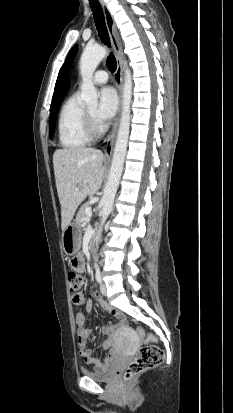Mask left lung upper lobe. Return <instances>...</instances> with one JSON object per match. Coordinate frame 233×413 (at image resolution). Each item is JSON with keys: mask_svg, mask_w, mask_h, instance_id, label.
<instances>
[{"mask_svg": "<svg viewBox=\"0 0 233 413\" xmlns=\"http://www.w3.org/2000/svg\"><path fill=\"white\" fill-rule=\"evenodd\" d=\"M76 50H77V46H74V47L71 49V51L69 52V54H68V56H67V58H66V60H65V62H64V64H63V66L61 67V69H60V71H59L58 78H57V81H56V84H55V90H54V94H53V99H52L53 102L57 99V97H58V95H59V91H60V87H61L62 81H63L65 75H66L67 72H68L69 66H70V64H71V62H72V60H73V58H74V56H75Z\"/></svg>", "mask_w": 233, "mask_h": 413, "instance_id": "obj_1", "label": "left lung upper lobe"}]
</instances>
